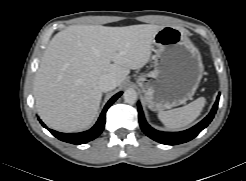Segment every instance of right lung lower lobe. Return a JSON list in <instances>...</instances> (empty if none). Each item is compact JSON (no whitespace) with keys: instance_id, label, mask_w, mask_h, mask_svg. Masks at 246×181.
I'll list each match as a JSON object with an SVG mask.
<instances>
[{"instance_id":"98d812e1","label":"right lung lower lobe","mask_w":246,"mask_h":181,"mask_svg":"<svg viewBox=\"0 0 246 181\" xmlns=\"http://www.w3.org/2000/svg\"><path fill=\"white\" fill-rule=\"evenodd\" d=\"M122 94V92L117 93L116 95H114L106 104V106L104 107L98 121L96 122V124L88 131L85 132H81V133H60L51 129H48L43 122H41V124L47 128L52 135H54L56 138L64 141V142H68V143H72V144H84L87 143L93 139H95L96 137H98L100 135V133L103 131L104 129V125H105V116H106V111L108 110V108L116 101V99L118 97H120V95Z\"/></svg>"}]
</instances>
